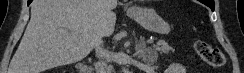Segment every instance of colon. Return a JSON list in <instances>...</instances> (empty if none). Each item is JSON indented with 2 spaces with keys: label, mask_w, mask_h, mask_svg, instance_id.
<instances>
[{
  "label": "colon",
  "mask_w": 244,
  "mask_h": 73,
  "mask_svg": "<svg viewBox=\"0 0 244 73\" xmlns=\"http://www.w3.org/2000/svg\"><path fill=\"white\" fill-rule=\"evenodd\" d=\"M193 47L196 53L210 66L221 68L225 65V55L220 48L211 45L202 38H194Z\"/></svg>",
  "instance_id": "colon-1"
}]
</instances>
